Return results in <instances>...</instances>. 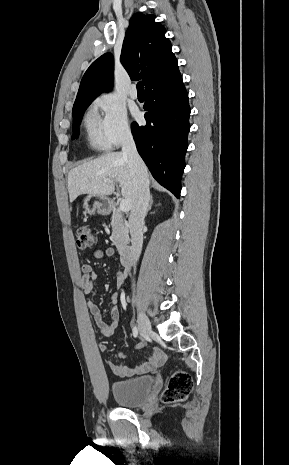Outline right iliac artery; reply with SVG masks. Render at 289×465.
Returning <instances> with one entry per match:
<instances>
[{"label":"right iliac artery","mask_w":289,"mask_h":465,"mask_svg":"<svg viewBox=\"0 0 289 465\" xmlns=\"http://www.w3.org/2000/svg\"><path fill=\"white\" fill-rule=\"evenodd\" d=\"M138 331H139V330H138V327H137V326H134V327H133V336H134V337H137V336H138Z\"/></svg>","instance_id":"1"}]
</instances>
